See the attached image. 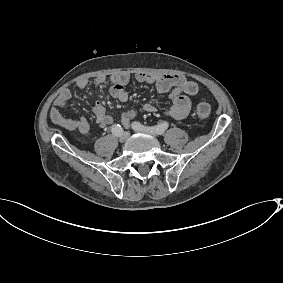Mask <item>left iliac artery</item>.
Instances as JSON below:
<instances>
[{"mask_svg": "<svg viewBox=\"0 0 283 283\" xmlns=\"http://www.w3.org/2000/svg\"><path fill=\"white\" fill-rule=\"evenodd\" d=\"M132 126L137 128V129L147 131V132L152 133V134L162 135L165 132V130L168 128V123L164 122V123L156 125V126H145V125H142L139 122H133Z\"/></svg>", "mask_w": 283, "mask_h": 283, "instance_id": "1", "label": "left iliac artery"}]
</instances>
